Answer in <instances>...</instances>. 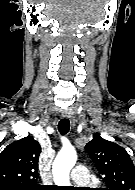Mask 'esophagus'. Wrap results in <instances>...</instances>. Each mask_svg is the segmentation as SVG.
Returning a JSON list of instances; mask_svg holds the SVG:
<instances>
[{
	"label": "esophagus",
	"mask_w": 135,
	"mask_h": 190,
	"mask_svg": "<svg viewBox=\"0 0 135 190\" xmlns=\"http://www.w3.org/2000/svg\"><path fill=\"white\" fill-rule=\"evenodd\" d=\"M62 117L65 118V119H70L71 122L74 124V117H73V114L71 113V111L64 110L62 112Z\"/></svg>",
	"instance_id": "esophagus-1"
}]
</instances>
